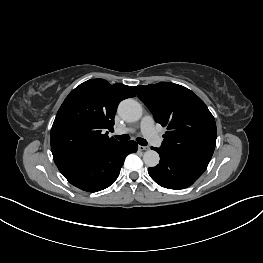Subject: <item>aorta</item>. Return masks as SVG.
Masks as SVG:
<instances>
[{"label": "aorta", "mask_w": 263, "mask_h": 263, "mask_svg": "<svg viewBox=\"0 0 263 263\" xmlns=\"http://www.w3.org/2000/svg\"><path fill=\"white\" fill-rule=\"evenodd\" d=\"M118 114L128 122L138 121L142 116V107L134 99L123 100L118 106ZM159 154L154 150H148L143 155V161L148 167H155L159 164Z\"/></svg>", "instance_id": "obj_1"}]
</instances>
